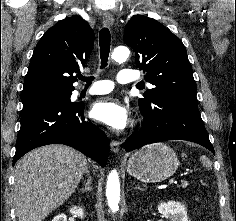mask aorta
Returning <instances> with one entry per match:
<instances>
[{"label":"aorta","mask_w":236,"mask_h":221,"mask_svg":"<svg viewBox=\"0 0 236 221\" xmlns=\"http://www.w3.org/2000/svg\"><path fill=\"white\" fill-rule=\"evenodd\" d=\"M130 51L127 47L120 46L112 52V59L120 62L125 61L129 57ZM106 197L110 209L115 212L119 208L120 201V182L119 175L116 170L109 173L106 187Z\"/></svg>","instance_id":"1"}]
</instances>
